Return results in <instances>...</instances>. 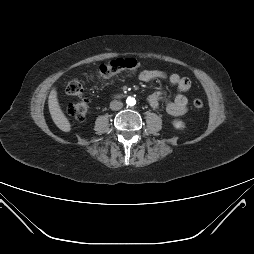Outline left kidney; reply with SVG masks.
<instances>
[{"instance_id": "left-kidney-1", "label": "left kidney", "mask_w": 254, "mask_h": 254, "mask_svg": "<svg viewBox=\"0 0 254 254\" xmlns=\"http://www.w3.org/2000/svg\"><path fill=\"white\" fill-rule=\"evenodd\" d=\"M173 125L176 129H181L185 126V123L182 120H174Z\"/></svg>"}]
</instances>
